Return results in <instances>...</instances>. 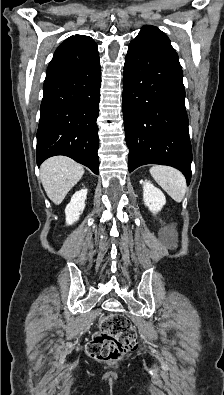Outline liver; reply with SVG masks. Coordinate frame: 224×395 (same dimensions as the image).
<instances>
[{"mask_svg": "<svg viewBox=\"0 0 224 395\" xmlns=\"http://www.w3.org/2000/svg\"><path fill=\"white\" fill-rule=\"evenodd\" d=\"M83 174V166L65 156L51 157L40 167V178L44 190L56 205L64 200Z\"/></svg>", "mask_w": 224, "mask_h": 395, "instance_id": "obj_1", "label": "liver"}]
</instances>
